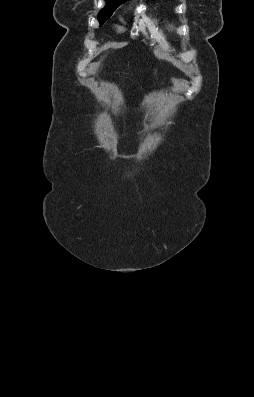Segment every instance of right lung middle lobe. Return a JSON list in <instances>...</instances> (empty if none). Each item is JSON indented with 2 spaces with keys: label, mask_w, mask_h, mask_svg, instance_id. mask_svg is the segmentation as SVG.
Returning <instances> with one entry per match:
<instances>
[{
  "label": "right lung middle lobe",
  "mask_w": 254,
  "mask_h": 397,
  "mask_svg": "<svg viewBox=\"0 0 254 397\" xmlns=\"http://www.w3.org/2000/svg\"><path fill=\"white\" fill-rule=\"evenodd\" d=\"M125 1H108L106 7L98 14L100 24H103L113 14V11Z\"/></svg>",
  "instance_id": "right-lung-middle-lobe-1"
}]
</instances>
